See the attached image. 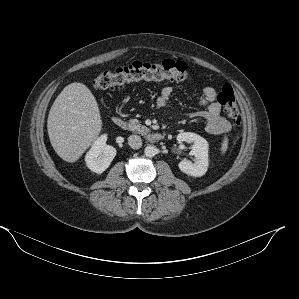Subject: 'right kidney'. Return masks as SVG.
I'll return each mask as SVG.
<instances>
[{
    "instance_id": "1",
    "label": "right kidney",
    "mask_w": 299,
    "mask_h": 299,
    "mask_svg": "<svg viewBox=\"0 0 299 299\" xmlns=\"http://www.w3.org/2000/svg\"><path fill=\"white\" fill-rule=\"evenodd\" d=\"M107 135L100 136L85 156L87 167L98 174L103 173L116 156V149L106 144Z\"/></svg>"
}]
</instances>
